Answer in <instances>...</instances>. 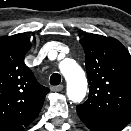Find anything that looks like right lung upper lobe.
Returning a JSON list of instances; mask_svg holds the SVG:
<instances>
[{"instance_id": "right-lung-upper-lobe-1", "label": "right lung upper lobe", "mask_w": 131, "mask_h": 131, "mask_svg": "<svg viewBox=\"0 0 131 131\" xmlns=\"http://www.w3.org/2000/svg\"><path fill=\"white\" fill-rule=\"evenodd\" d=\"M30 48L24 34L0 37V131H24L50 91L24 63Z\"/></svg>"}]
</instances>
